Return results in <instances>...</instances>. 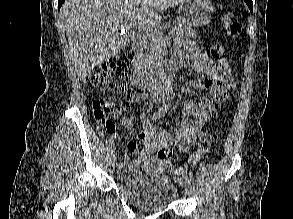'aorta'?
<instances>
[{"label":"aorta","instance_id":"1","mask_svg":"<svg viewBox=\"0 0 293 219\" xmlns=\"http://www.w3.org/2000/svg\"><path fill=\"white\" fill-rule=\"evenodd\" d=\"M156 75H157V78H158V81H159V84H160L161 91L163 93L168 92L169 89H170V83L167 80L166 73L164 72L161 64L157 65V73H156Z\"/></svg>","mask_w":293,"mask_h":219}]
</instances>
